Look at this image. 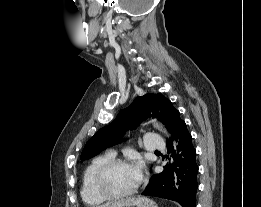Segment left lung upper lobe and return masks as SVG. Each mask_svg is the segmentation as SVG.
<instances>
[{"label": "left lung upper lobe", "instance_id": "obj_1", "mask_svg": "<svg viewBox=\"0 0 261 207\" xmlns=\"http://www.w3.org/2000/svg\"><path fill=\"white\" fill-rule=\"evenodd\" d=\"M148 117H157L162 121L172 137L182 120L179 111L162 94L148 93L139 96L130 106L121 110L113 122L98 130L90 138L82 151L81 160L90 159L104 149L118 144L123 140L122 137L126 129L135 128L139 122ZM169 141L167 140V142Z\"/></svg>", "mask_w": 261, "mask_h": 207}]
</instances>
